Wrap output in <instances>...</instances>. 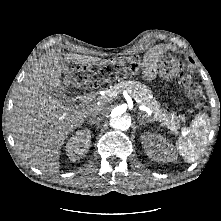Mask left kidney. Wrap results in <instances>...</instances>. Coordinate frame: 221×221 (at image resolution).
Here are the masks:
<instances>
[{
    "mask_svg": "<svg viewBox=\"0 0 221 221\" xmlns=\"http://www.w3.org/2000/svg\"><path fill=\"white\" fill-rule=\"evenodd\" d=\"M142 144L152 160L166 162L176 158L172 145L161 135L143 136Z\"/></svg>",
    "mask_w": 221,
    "mask_h": 221,
    "instance_id": "5707ae66",
    "label": "left kidney"
}]
</instances>
